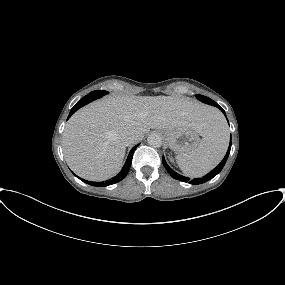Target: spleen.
<instances>
[{
    "label": "spleen",
    "mask_w": 285,
    "mask_h": 285,
    "mask_svg": "<svg viewBox=\"0 0 285 285\" xmlns=\"http://www.w3.org/2000/svg\"><path fill=\"white\" fill-rule=\"evenodd\" d=\"M230 133L222 115L216 121L213 131L202 138L197 148L188 155H177L176 161L188 177H201L216 167L223 159Z\"/></svg>",
    "instance_id": "spleen-1"
}]
</instances>
